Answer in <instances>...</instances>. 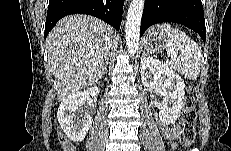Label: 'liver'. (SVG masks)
<instances>
[{"label":"liver","instance_id":"obj_1","mask_svg":"<svg viewBox=\"0 0 231 151\" xmlns=\"http://www.w3.org/2000/svg\"><path fill=\"white\" fill-rule=\"evenodd\" d=\"M112 39L113 29L92 16H67L56 24L46 43L59 102L103 76Z\"/></svg>","mask_w":231,"mask_h":151}]
</instances>
